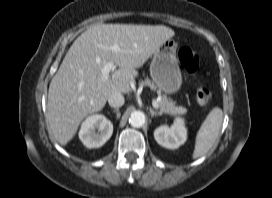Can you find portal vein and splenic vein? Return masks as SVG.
<instances>
[{
  "label": "portal vein and splenic vein",
  "instance_id": "18ae733b",
  "mask_svg": "<svg viewBox=\"0 0 272 198\" xmlns=\"http://www.w3.org/2000/svg\"><path fill=\"white\" fill-rule=\"evenodd\" d=\"M112 51L114 52H118L120 50V47L118 44H114L111 48ZM116 65L114 64V62H108L106 63V65L103 67L102 69V80H108L109 79V74L111 71H113L115 69ZM152 105L155 109H159V105L157 101H153Z\"/></svg>",
  "mask_w": 272,
  "mask_h": 198
}]
</instances>
